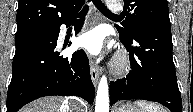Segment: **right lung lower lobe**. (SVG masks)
Segmentation results:
<instances>
[{"mask_svg":"<svg viewBox=\"0 0 193 112\" xmlns=\"http://www.w3.org/2000/svg\"><path fill=\"white\" fill-rule=\"evenodd\" d=\"M87 10L88 7L82 11L75 33L81 30ZM76 17L77 13L15 44L7 112H17L25 104L50 95H77L89 104L93 103L95 89L85 52L78 50L63 57L56 51L60 25H69Z\"/></svg>","mask_w":193,"mask_h":112,"instance_id":"right-lung-lower-lobe-1","label":"right lung lower lobe"}]
</instances>
